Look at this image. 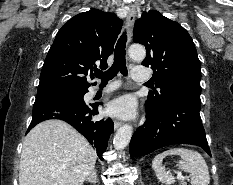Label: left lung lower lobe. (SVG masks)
<instances>
[{
	"label": "left lung lower lobe",
	"mask_w": 233,
	"mask_h": 185,
	"mask_svg": "<svg viewBox=\"0 0 233 185\" xmlns=\"http://www.w3.org/2000/svg\"><path fill=\"white\" fill-rule=\"evenodd\" d=\"M200 108V91L195 90L179 93L159 111L146 108V122L130 142L131 157L144 156L172 144L201 146L211 156Z\"/></svg>",
	"instance_id": "left-lung-lower-lobe-1"
}]
</instances>
